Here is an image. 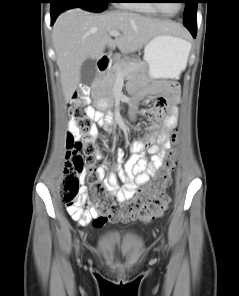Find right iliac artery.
Segmentation results:
<instances>
[{
  "label": "right iliac artery",
  "instance_id": "right-iliac-artery-1",
  "mask_svg": "<svg viewBox=\"0 0 239 296\" xmlns=\"http://www.w3.org/2000/svg\"><path fill=\"white\" fill-rule=\"evenodd\" d=\"M77 243H78V240H77ZM77 251H78V245H77Z\"/></svg>",
  "mask_w": 239,
  "mask_h": 296
}]
</instances>
